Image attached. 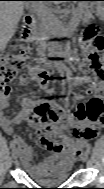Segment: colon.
<instances>
[{
	"label": "colon",
	"instance_id": "colon-1",
	"mask_svg": "<svg viewBox=\"0 0 104 189\" xmlns=\"http://www.w3.org/2000/svg\"><path fill=\"white\" fill-rule=\"evenodd\" d=\"M82 42L88 46H91L95 52L90 55L92 70L101 77L102 64L100 62L98 52L104 50V37L98 32L95 26L91 25L87 27L82 36ZM30 59V52L26 49L19 48L16 52L6 55L2 65L0 74V97L9 95L12 88V84L15 81L18 73L25 69ZM39 76L42 81H46L49 78L48 73L45 70L39 72ZM87 110L90 112V116L93 118H99L103 113V103L100 100H93L86 103ZM46 111L44 106H40L37 109V114L42 115ZM39 134L42 140L48 144H55L56 139L52 133V129L49 126L37 125ZM97 136V135H96ZM95 136V137H96ZM94 137V138H95Z\"/></svg>",
	"mask_w": 104,
	"mask_h": 189
}]
</instances>
